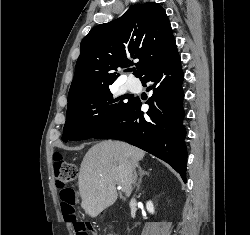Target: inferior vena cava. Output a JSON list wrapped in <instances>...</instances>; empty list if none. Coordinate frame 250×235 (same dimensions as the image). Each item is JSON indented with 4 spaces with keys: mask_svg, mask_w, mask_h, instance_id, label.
<instances>
[{
    "mask_svg": "<svg viewBox=\"0 0 250 235\" xmlns=\"http://www.w3.org/2000/svg\"><path fill=\"white\" fill-rule=\"evenodd\" d=\"M131 180H132V183L135 184V181H136V173L134 172V170L132 171Z\"/></svg>",
    "mask_w": 250,
    "mask_h": 235,
    "instance_id": "1",
    "label": "inferior vena cava"
}]
</instances>
